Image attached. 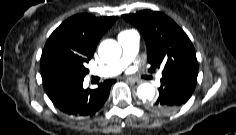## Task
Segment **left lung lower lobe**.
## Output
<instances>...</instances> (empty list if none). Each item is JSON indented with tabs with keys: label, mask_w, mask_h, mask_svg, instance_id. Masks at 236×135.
<instances>
[{
	"label": "left lung lower lobe",
	"mask_w": 236,
	"mask_h": 135,
	"mask_svg": "<svg viewBox=\"0 0 236 135\" xmlns=\"http://www.w3.org/2000/svg\"><path fill=\"white\" fill-rule=\"evenodd\" d=\"M198 68L178 69L162 74L159 97L150 108L157 112H171L185 104L197 83Z\"/></svg>",
	"instance_id": "1"
}]
</instances>
